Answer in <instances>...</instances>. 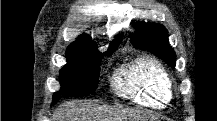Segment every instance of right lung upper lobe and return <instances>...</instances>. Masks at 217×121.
<instances>
[{
    "mask_svg": "<svg viewBox=\"0 0 217 121\" xmlns=\"http://www.w3.org/2000/svg\"><path fill=\"white\" fill-rule=\"evenodd\" d=\"M121 40H122V35H117L115 39L111 42L108 52L116 49ZM85 45L95 46V43L92 41V38H90L88 35L83 34V35H80L77 38V41L75 43H72L68 48L81 47Z\"/></svg>",
    "mask_w": 217,
    "mask_h": 121,
    "instance_id": "obj_1",
    "label": "right lung upper lobe"
}]
</instances>
